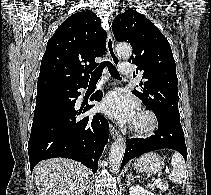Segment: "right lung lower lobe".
Returning <instances> with one entry per match:
<instances>
[{"instance_id": "right-lung-lower-lobe-1", "label": "right lung lower lobe", "mask_w": 211, "mask_h": 195, "mask_svg": "<svg viewBox=\"0 0 211 195\" xmlns=\"http://www.w3.org/2000/svg\"><path fill=\"white\" fill-rule=\"evenodd\" d=\"M88 83V82H87ZM84 84L60 86L37 94L34 119L28 142L30 169L45 159L63 157L81 162L95 173L108 141V121L98 113L81 116L93 105L75 107ZM97 91L91 101H101Z\"/></svg>"}]
</instances>
